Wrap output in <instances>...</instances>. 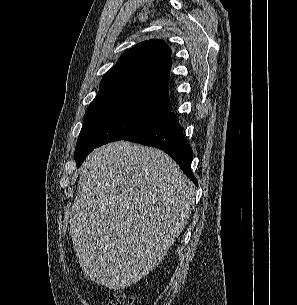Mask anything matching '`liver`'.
I'll return each instance as SVG.
<instances>
[{
	"mask_svg": "<svg viewBox=\"0 0 297 305\" xmlns=\"http://www.w3.org/2000/svg\"><path fill=\"white\" fill-rule=\"evenodd\" d=\"M194 202L193 183L162 150L127 141L94 150L69 220L84 276L113 290L136 284L162 261Z\"/></svg>",
	"mask_w": 297,
	"mask_h": 305,
	"instance_id": "1",
	"label": "liver"
}]
</instances>
